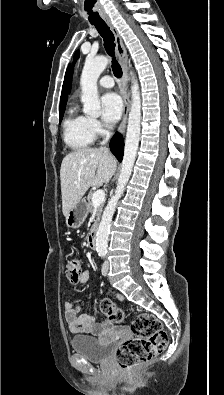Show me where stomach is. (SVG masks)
Instances as JSON below:
<instances>
[{
	"label": "stomach",
	"mask_w": 224,
	"mask_h": 395,
	"mask_svg": "<svg viewBox=\"0 0 224 395\" xmlns=\"http://www.w3.org/2000/svg\"><path fill=\"white\" fill-rule=\"evenodd\" d=\"M87 214L86 203L83 200L79 201L65 216L67 227L79 228L85 221Z\"/></svg>",
	"instance_id": "1"
}]
</instances>
